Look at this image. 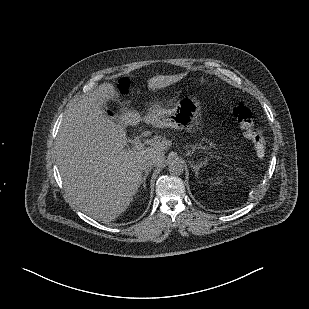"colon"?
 Instances as JSON below:
<instances>
[{"label":"colon","instance_id":"1","mask_svg":"<svg viewBox=\"0 0 309 309\" xmlns=\"http://www.w3.org/2000/svg\"><path fill=\"white\" fill-rule=\"evenodd\" d=\"M130 88V80L123 77L117 82V89L122 93H127ZM233 118L240 124L245 137L254 145L255 151L259 157L264 156L266 152V141L262 132L254 124L251 110L243 103H239L233 109Z\"/></svg>","mask_w":309,"mask_h":309}]
</instances>
